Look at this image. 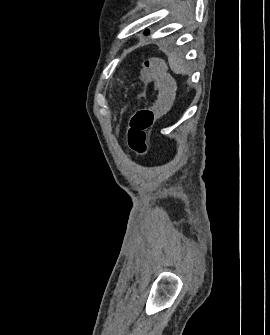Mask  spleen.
I'll list each match as a JSON object with an SVG mask.
<instances>
[{
    "instance_id": "spleen-1",
    "label": "spleen",
    "mask_w": 270,
    "mask_h": 335,
    "mask_svg": "<svg viewBox=\"0 0 270 335\" xmlns=\"http://www.w3.org/2000/svg\"><path fill=\"white\" fill-rule=\"evenodd\" d=\"M168 62L174 74H187L188 68L184 60H182L181 56L175 54V52H171V54H168Z\"/></svg>"
}]
</instances>
